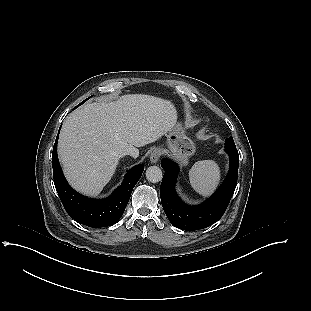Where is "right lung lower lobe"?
Instances as JSON below:
<instances>
[{
	"label": "right lung lower lobe",
	"instance_id": "1",
	"mask_svg": "<svg viewBox=\"0 0 311 311\" xmlns=\"http://www.w3.org/2000/svg\"><path fill=\"white\" fill-rule=\"evenodd\" d=\"M58 135L52 154L53 177L66 212L75 221L89 227L99 228L113 225L124 213L132 190L142 175L144 165L141 164L129 170L122 185L114 191L112 196L104 200L89 199L74 191L65 180L57 156Z\"/></svg>",
	"mask_w": 311,
	"mask_h": 311
}]
</instances>
